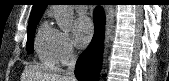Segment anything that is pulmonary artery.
<instances>
[{
    "instance_id": "1",
    "label": "pulmonary artery",
    "mask_w": 169,
    "mask_h": 81,
    "mask_svg": "<svg viewBox=\"0 0 169 81\" xmlns=\"http://www.w3.org/2000/svg\"><path fill=\"white\" fill-rule=\"evenodd\" d=\"M79 11H80V12H84V7L79 6Z\"/></svg>"
}]
</instances>
